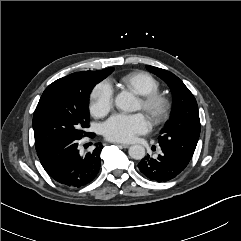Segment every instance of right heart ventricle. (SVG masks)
Here are the masks:
<instances>
[{"instance_id":"obj_1","label":"right heart ventricle","mask_w":241,"mask_h":241,"mask_svg":"<svg viewBox=\"0 0 241 241\" xmlns=\"http://www.w3.org/2000/svg\"><path fill=\"white\" fill-rule=\"evenodd\" d=\"M121 84L137 95H147L159 91V82L149 73L131 72L121 78Z\"/></svg>"}]
</instances>
